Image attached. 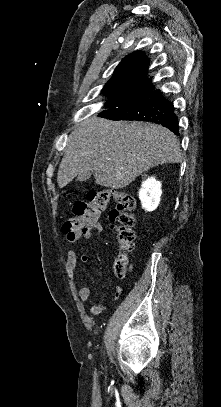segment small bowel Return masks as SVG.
I'll return each instance as SVG.
<instances>
[{"label": "small bowel", "mask_w": 221, "mask_h": 407, "mask_svg": "<svg viewBox=\"0 0 221 407\" xmlns=\"http://www.w3.org/2000/svg\"><path fill=\"white\" fill-rule=\"evenodd\" d=\"M103 231V227L100 224L97 233H100ZM69 241H71L68 238ZM90 257L87 254H82L78 256L73 250H68L66 252V262H65V271L66 274L68 275L69 279L74 282V273L75 269L77 267L78 262L85 265L89 262ZM92 289L90 286H83L78 290V299L80 302H85L89 299L91 296ZM122 294V288L120 286H116L113 292V299H118L120 295ZM106 309V304L104 302H95L91 309L90 312L93 315H97L101 312H103Z\"/></svg>", "instance_id": "c3829d8e"}]
</instances>
